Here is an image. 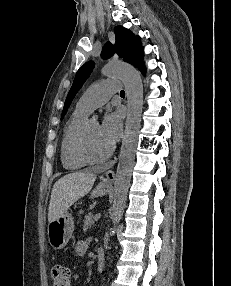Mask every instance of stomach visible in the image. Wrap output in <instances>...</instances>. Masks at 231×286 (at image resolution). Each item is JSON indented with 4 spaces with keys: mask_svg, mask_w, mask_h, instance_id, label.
Masks as SVG:
<instances>
[{
    "mask_svg": "<svg viewBox=\"0 0 231 286\" xmlns=\"http://www.w3.org/2000/svg\"><path fill=\"white\" fill-rule=\"evenodd\" d=\"M110 187L98 184L91 192V197L104 196ZM74 230V218L71 213L65 212L48 224V241L54 249H62L69 242Z\"/></svg>",
    "mask_w": 231,
    "mask_h": 286,
    "instance_id": "1",
    "label": "stomach"
}]
</instances>
